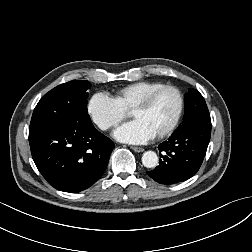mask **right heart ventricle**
I'll use <instances>...</instances> for the list:
<instances>
[{"label": "right heart ventricle", "mask_w": 252, "mask_h": 252, "mask_svg": "<svg viewBox=\"0 0 252 252\" xmlns=\"http://www.w3.org/2000/svg\"><path fill=\"white\" fill-rule=\"evenodd\" d=\"M158 81H138L118 88L112 98L126 111L131 110L149 92L163 86Z\"/></svg>", "instance_id": "obj_1"}]
</instances>
